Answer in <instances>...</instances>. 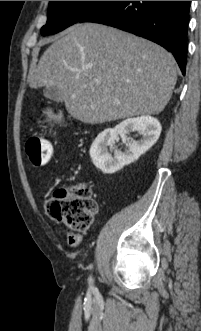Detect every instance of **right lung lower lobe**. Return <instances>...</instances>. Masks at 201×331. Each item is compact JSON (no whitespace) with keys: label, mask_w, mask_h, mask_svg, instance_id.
Masks as SVG:
<instances>
[{"label":"right lung lower lobe","mask_w":201,"mask_h":331,"mask_svg":"<svg viewBox=\"0 0 201 331\" xmlns=\"http://www.w3.org/2000/svg\"><path fill=\"white\" fill-rule=\"evenodd\" d=\"M190 1H105L79 22L101 23L147 38L174 55L183 74Z\"/></svg>","instance_id":"1"}]
</instances>
